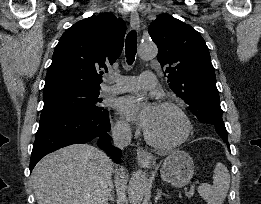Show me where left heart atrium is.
Here are the masks:
<instances>
[{
	"label": "left heart atrium",
	"mask_w": 261,
	"mask_h": 204,
	"mask_svg": "<svg viewBox=\"0 0 261 204\" xmlns=\"http://www.w3.org/2000/svg\"><path fill=\"white\" fill-rule=\"evenodd\" d=\"M153 109L152 104L137 96L124 97L118 103L119 112L143 129L147 128Z\"/></svg>",
	"instance_id": "39dd6f15"
}]
</instances>
